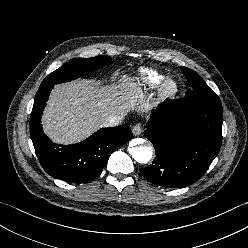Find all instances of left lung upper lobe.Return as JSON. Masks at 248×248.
Wrapping results in <instances>:
<instances>
[{
	"label": "left lung upper lobe",
	"mask_w": 248,
	"mask_h": 248,
	"mask_svg": "<svg viewBox=\"0 0 248 248\" xmlns=\"http://www.w3.org/2000/svg\"><path fill=\"white\" fill-rule=\"evenodd\" d=\"M183 74L186 76L188 83L194 88V91L188 90L185 96H193L203 92H212L210 87L203 81V79L193 70L182 67Z\"/></svg>",
	"instance_id": "1"
}]
</instances>
